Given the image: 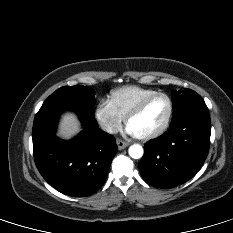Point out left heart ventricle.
<instances>
[{"instance_id": "obj_1", "label": "left heart ventricle", "mask_w": 233, "mask_h": 233, "mask_svg": "<svg viewBox=\"0 0 233 233\" xmlns=\"http://www.w3.org/2000/svg\"><path fill=\"white\" fill-rule=\"evenodd\" d=\"M168 114V103L164 97L154 99L128 126L136 135H146L158 130Z\"/></svg>"}]
</instances>
